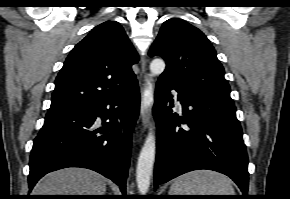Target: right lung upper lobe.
Masks as SVG:
<instances>
[{"mask_svg": "<svg viewBox=\"0 0 290 199\" xmlns=\"http://www.w3.org/2000/svg\"><path fill=\"white\" fill-rule=\"evenodd\" d=\"M138 54L122 26L106 21L70 52L55 80L47 115L89 106L123 92L136 81Z\"/></svg>", "mask_w": 290, "mask_h": 199, "instance_id": "cb5924a9", "label": "right lung upper lobe"}]
</instances>
